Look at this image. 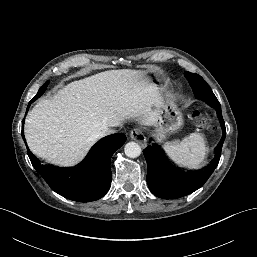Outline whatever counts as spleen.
<instances>
[{
    "instance_id": "spleen-1",
    "label": "spleen",
    "mask_w": 257,
    "mask_h": 257,
    "mask_svg": "<svg viewBox=\"0 0 257 257\" xmlns=\"http://www.w3.org/2000/svg\"><path fill=\"white\" fill-rule=\"evenodd\" d=\"M163 148L173 162L190 169L202 166L208 150L203 134L196 132L186 136L182 141L167 142Z\"/></svg>"
}]
</instances>
